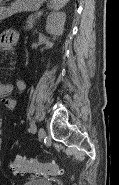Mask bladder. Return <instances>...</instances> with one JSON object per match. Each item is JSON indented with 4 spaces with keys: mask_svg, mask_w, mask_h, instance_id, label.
<instances>
[{
    "mask_svg": "<svg viewBox=\"0 0 119 185\" xmlns=\"http://www.w3.org/2000/svg\"><path fill=\"white\" fill-rule=\"evenodd\" d=\"M22 185H53L52 182L45 179H30L24 182Z\"/></svg>",
    "mask_w": 119,
    "mask_h": 185,
    "instance_id": "1",
    "label": "bladder"
}]
</instances>
